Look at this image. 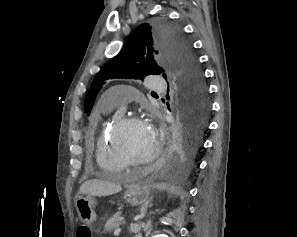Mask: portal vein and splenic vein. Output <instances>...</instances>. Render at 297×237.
Segmentation results:
<instances>
[{
    "label": "portal vein and splenic vein",
    "instance_id": "1",
    "mask_svg": "<svg viewBox=\"0 0 297 237\" xmlns=\"http://www.w3.org/2000/svg\"><path fill=\"white\" fill-rule=\"evenodd\" d=\"M121 232V228H117L115 231H114V235H119V233Z\"/></svg>",
    "mask_w": 297,
    "mask_h": 237
}]
</instances>
